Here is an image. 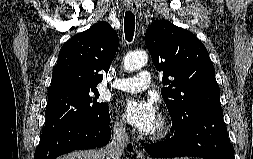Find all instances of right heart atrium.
I'll return each mask as SVG.
<instances>
[{
  "label": "right heart atrium",
  "mask_w": 253,
  "mask_h": 159,
  "mask_svg": "<svg viewBox=\"0 0 253 159\" xmlns=\"http://www.w3.org/2000/svg\"><path fill=\"white\" fill-rule=\"evenodd\" d=\"M113 131L118 135H124L126 133V125L122 119L116 118L112 121Z\"/></svg>",
  "instance_id": "obj_1"
}]
</instances>
